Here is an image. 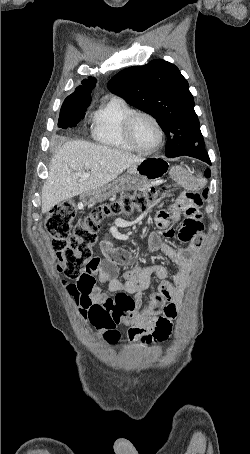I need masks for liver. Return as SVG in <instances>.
Here are the masks:
<instances>
[{
  "instance_id": "6515ba94",
  "label": "liver",
  "mask_w": 250,
  "mask_h": 454,
  "mask_svg": "<svg viewBox=\"0 0 250 454\" xmlns=\"http://www.w3.org/2000/svg\"><path fill=\"white\" fill-rule=\"evenodd\" d=\"M142 161V157L87 141L64 143L49 164L48 178L42 188V213L64 200L107 185ZM85 171L90 176L81 180L79 174Z\"/></svg>"
}]
</instances>
